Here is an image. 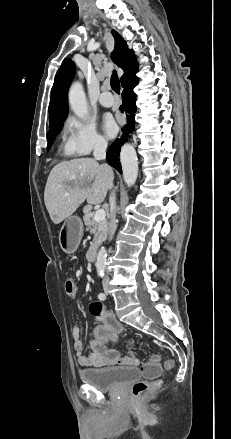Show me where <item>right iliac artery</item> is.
Segmentation results:
<instances>
[{
	"label": "right iliac artery",
	"mask_w": 231,
	"mask_h": 439,
	"mask_svg": "<svg viewBox=\"0 0 231 439\" xmlns=\"http://www.w3.org/2000/svg\"><path fill=\"white\" fill-rule=\"evenodd\" d=\"M98 298H99L100 300H105V299H106V295H105L104 293H100V294L98 295Z\"/></svg>",
	"instance_id": "right-iliac-artery-1"
}]
</instances>
